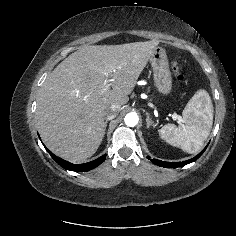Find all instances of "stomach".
<instances>
[{"label": "stomach", "mask_w": 236, "mask_h": 236, "mask_svg": "<svg viewBox=\"0 0 236 236\" xmlns=\"http://www.w3.org/2000/svg\"><path fill=\"white\" fill-rule=\"evenodd\" d=\"M149 60L153 68L154 86L159 93L167 96L172 90V75L165 50L156 47Z\"/></svg>", "instance_id": "1"}]
</instances>
